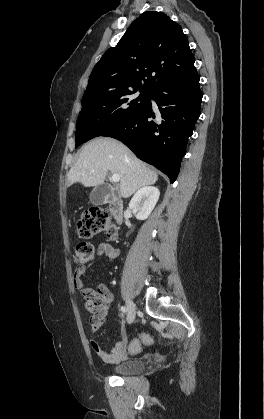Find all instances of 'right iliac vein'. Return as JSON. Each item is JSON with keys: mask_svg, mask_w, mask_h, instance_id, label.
I'll list each match as a JSON object with an SVG mask.
<instances>
[{"mask_svg": "<svg viewBox=\"0 0 264 419\" xmlns=\"http://www.w3.org/2000/svg\"><path fill=\"white\" fill-rule=\"evenodd\" d=\"M126 307H127V321L128 323H132L135 320V316H136L135 304L132 301L128 300Z\"/></svg>", "mask_w": 264, "mask_h": 419, "instance_id": "1", "label": "right iliac vein"}]
</instances>
